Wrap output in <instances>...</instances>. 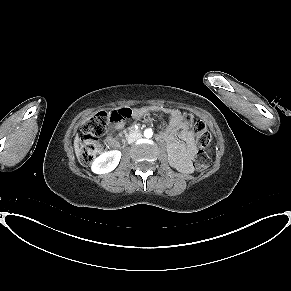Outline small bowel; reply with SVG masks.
<instances>
[{"mask_svg":"<svg viewBox=\"0 0 291 291\" xmlns=\"http://www.w3.org/2000/svg\"><path fill=\"white\" fill-rule=\"evenodd\" d=\"M155 111L162 112L168 116L167 128L161 133L160 137L163 138L168 144L169 155L172 162L182 172H190L192 170L190 160L194 157L197 151L195 134L184 120V116L179 110L158 106H145L135 108L132 111L131 116L138 119ZM125 124V119L115 121L112 124V129L120 130L125 126ZM176 132H178V137L181 141H183V144H180L175 140L174 135ZM106 140L110 146H114L116 141L112 132L108 133Z\"/></svg>","mask_w":291,"mask_h":291,"instance_id":"c3829d8e","label":"small bowel"}]
</instances>
